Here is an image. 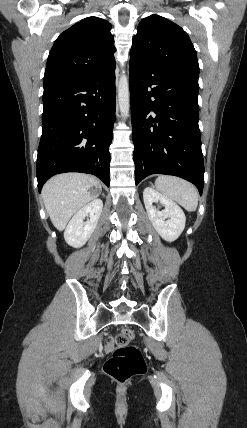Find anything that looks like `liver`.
<instances>
[{"mask_svg": "<svg viewBox=\"0 0 247 428\" xmlns=\"http://www.w3.org/2000/svg\"><path fill=\"white\" fill-rule=\"evenodd\" d=\"M94 187L95 192L89 189ZM100 182L93 176L66 173L52 177L42 189L46 211L57 230L63 231L71 217L98 197Z\"/></svg>", "mask_w": 247, "mask_h": 428, "instance_id": "obj_1", "label": "liver"}]
</instances>
